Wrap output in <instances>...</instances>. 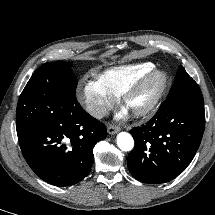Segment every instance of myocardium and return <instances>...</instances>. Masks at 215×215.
<instances>
[{"label":"myocardium","instance_id":"f54148a6","mask_svg":"<svg viewBox=\"0 0 215 215\" xmlns=\"http://www.w3.org/2000/svg\"><path fill=\"white\" fill-rule=\"evenodd\" d=\"M158 78L160 83L159 86L153 95L152 99L146 104L144 107L139 109H129L128 105L130 99L139 91L141 90L146 84H148L151 80ZM170 84V77L168 73L160 68H152L150 71L142 75L141 77L134 80L130 83L124 91L121 93V102L125 109L136 119H145L151 116L158 106L160 105L161 101L163 100L168 87Z\"/></svg>","mask_w":215,"mask_h":215}]
</instances>
